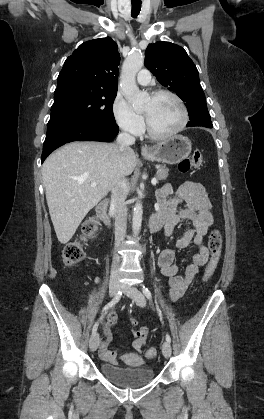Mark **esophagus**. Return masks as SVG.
<instances>
[{
  "label": "esophagus",
  "instance_id": "esophagus-1",
  "mask_svg": "<svg viewBox=\"0 0 264 419\" xmlns=\"http://www.w3.org/2000/svg\"><path fill=\"white\" fill-rule=\"evenodd\" d=\"M151 152V149L148 147V146H141V153L142 154H147V153H150Z\"/></svg>",
  "mask_w": 264,
  "mask_h": 419
}]
</instances>
